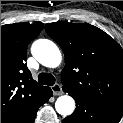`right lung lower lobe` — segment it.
<instances>
[{
    "label": "right lung lower lobe",
    "instance_id": "obj_1",
    "mask_svg": "<svg viewBox=\"0 0 123 123\" xmlns=\"http://www.w3.org/2000/svg\"><path fill=\"white\" fill-rule=\"evenodd\" d=\"M52 96V90L48 87L47 91L45 92L43 98L38 103L36 107H34L29 113H27L25 116H23L19 121L16 123H34V119L37 113L38 108L47 102L49 98Z\"/></svg>",
    "mask_w": 123,
    "mask_h": 123
}]
</instances>
